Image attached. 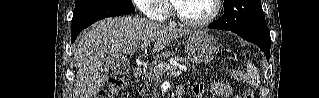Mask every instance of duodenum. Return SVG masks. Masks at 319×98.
<instances>
[{"mask_svg": "<svg viewBox=\"0 0 319 98\" xmlns=\"http://www.w3.org/2000/svg\"><path fill=\"white\" fill-rule=\"evenodd\" d=\"M143 70H144V66H143V65H137V66L134 68V70H133V73H132L133 77H134L135 79L140 78V77L142 76V74H143ZM182 95H183V88H182V87H179V88L177 89V96H178V97H181Z\"/></svg>", "mask_w": 319, "mask_h": 98, "instance_id": "410a0bca", "label": "duodenum"}]
</instances>
